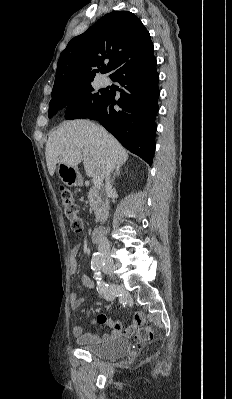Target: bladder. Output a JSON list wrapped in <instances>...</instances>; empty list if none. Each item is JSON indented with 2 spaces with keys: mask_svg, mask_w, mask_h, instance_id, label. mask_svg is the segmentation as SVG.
<instances>
[{
  "mask_svg": "<svg viewBox=\"0 0 232 399\" xmlns=\"http://www.w3.org/2000/svg\"><path fill=\"white\" fill-rule=\"evenodd\" d=\"M80 349L100 359L116 360L129 353L130 345L124 338H114L103 343L81 346Z\"/></svg>",
  "mask_w": 232,
  "mask_h": 399,
  "instance_id": "bladder-1",
  "label": "bladder"
}]
</instances>
